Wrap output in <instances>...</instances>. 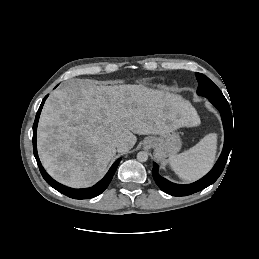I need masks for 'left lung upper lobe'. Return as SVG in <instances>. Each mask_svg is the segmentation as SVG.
I'll return each mask as SVG.
<instances>
[{
  "label": "left lung upper lobe",
  "instance_id": "left-lung-upper-lobe-1",
  "mask_svg": "<svg viewBox=\"0 0 259 259\" xmlns=\"http://www.w3.org/2000/svg\"><path fill=\"white\" fill-rule=\"evenodd\" d=\"M199 86L197 94L206 98H223V94L220 89L205 75L196 73Z\"/></svg>",
  "mask_w": 259,
  "mask_h": 259
}]
</instances>
